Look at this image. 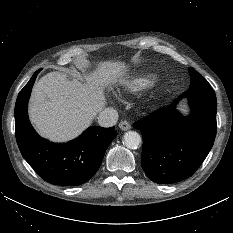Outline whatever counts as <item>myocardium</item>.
<instances>
[{
    "instance_id": "myocardium-1",
    "label": "myocardium",
    "mask_w": 233,
    "mask_h": 233,
    "mask_svg": "<svg viewBox=\"0 0 233 233\" xmlns=\"http://www.w3.org/2000/svg\"><path fill=\"white\" fill-rule=\"evenodd\" d=\"M159 97L157 94H152L147 100H146V104L149 107H153L158 103Z\"/></svg>"
}]
</instances>
